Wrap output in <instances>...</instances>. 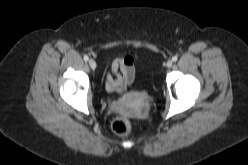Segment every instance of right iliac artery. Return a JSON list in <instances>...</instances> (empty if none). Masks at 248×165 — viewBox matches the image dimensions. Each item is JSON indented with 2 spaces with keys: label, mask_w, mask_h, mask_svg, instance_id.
<instances>
[{
  "label": "right iliac artery",
  "mask_w": 248,
  "mask_h": 165,
  "mask_svg": "<svg viewBox=\"0 0 248 165\" xmlns=\"http://www.w3.org/2000/svg\"><path fill=\"white\" fill-rule=\"evenodd\" d=\"M88 59H89L88 56L85 55V56H84V60H85V61H88Z\"/></svg>",
  "instance_id": "1"
}]
</instances>
